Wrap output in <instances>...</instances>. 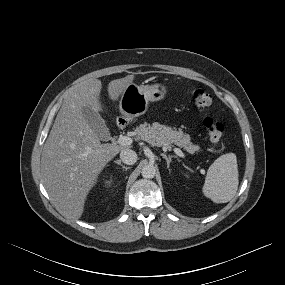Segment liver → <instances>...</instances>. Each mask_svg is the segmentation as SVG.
<instances>
[{
  "mask_svg": "<svg viewBox=\"0 0 285 285\" xmlns=\"http://www.w3.org/2000/svg\"><path fill=\"white\" fill-rule=\"evenodd\" d=\"M133 79L128 75L111 81L110 99L118 100ZM101 89V81L91 78L68 91L42 151L44 186L61 213L75 220L82 216L87 195L107 163L120 151L129 149L123 145L101 144L84 118V107L97 113L103 111Z\"/></svg>",
  "mask_w": 285,
  "mask_h": 285,
  "instance_id": "liver-1",
  "label": "liver"
}]
</instances>
